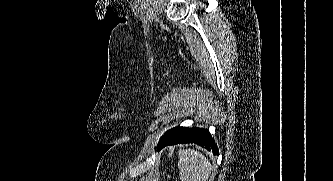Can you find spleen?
Listing matches in <instances>:
<instances>
[{
  "mask_svg": "<svg viewBox=\"0 0 333 181\" xmlns=\"http://www.w3.org/2000/svg\"><path fill=\"white\" fill-rule=\"evenodd\" d=\"M179 178L181 181H208L212 165L208 158L193 149L178 152Z\"/></svg>",
  "mask_w": 333,
  "mask_h": 181,
  "instance_id": "obj_1",
  "label": "spleen"
}]
</instances>
